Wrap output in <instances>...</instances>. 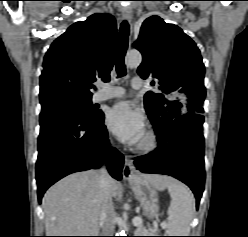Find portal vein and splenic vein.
<instances>
[{"label": "portal vein and splenic vein", "mask_w": 248, "mask_h": 237, "mask_svg": "<svg viewBox=\"0 0 248 237\" xmlns=\"http://www.w3.org/2000/svg\"><path fill=\"white\" fill-rule=\"evenodd\" d=\"M134 226H140L142 224V219L140 217H135L132 220Z\"/></svg>", "instance_id": "obj_1"}]
</instances>
